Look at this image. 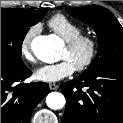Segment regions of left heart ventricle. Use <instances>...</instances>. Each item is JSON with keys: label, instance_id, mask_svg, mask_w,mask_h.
I'll return each mask as SVG.
<instances>
[{"label": "left heart ventricle", "instance_id": "obj_1", "mask_svg": "<svg viewBox=\"0 0 123 123\" xmlns=\"http://www.w3.org/2000/svg\"><path fill=\"white\" fill-rule=\"evenodd\" d=\"M88 55V46L83 44L79 46L74 51H69L66 47H64L60 54V59H67L69 60L74 67L80 64Z\"/></svg>", "mask_w": 123, "mask_h": 123}]
</instances>
